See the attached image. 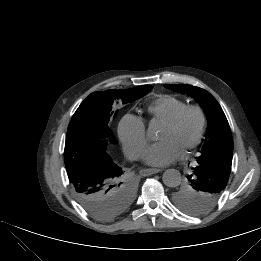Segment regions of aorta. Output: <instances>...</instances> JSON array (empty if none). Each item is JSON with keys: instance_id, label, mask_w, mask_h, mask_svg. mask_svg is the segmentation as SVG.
<instances>
[{"instance_id": "762f6f07", "label": "aorta", "mask_w": 261, "mask_h": 261, "mask_svg": "<svg viewBox=\"0 0 261 261\" xmlns=\"http://www.w3.org/2000/svg\"><path fill=\"white\" fill-rule=\"evenodd\" d=\"M152 128L149 132H152ZM163 183L168 187H177L181 183V174L176 169H167L162 176Z\"/></svg>"}]
</instances>
